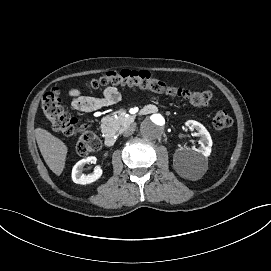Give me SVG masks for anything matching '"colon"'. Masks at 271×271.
Returning a JSON list of instances; mask_svg holds the SVG:
<instances>
[{"label":"colon","instance_id":"obj_1","mask_svg":"<svg viewBox=\"0 0 271 271\" xmlns=\"http://www.w3.org/2000/svg\"><path fill=\"white\" fill-rule=\"evenodd\" d=\"M94 88L107 85L135 86L156 94L181 98L194 106H207L212 93L209 90L194 91L175 87L153 77L148 71H135L124 69L120 72H107L90 82ZM41 109L55 132L64 135L79 133L76 152L80 156H87L100 147L97 135L87 125H79L76 118L65 111L61 93L53 89L45 93L41 100ZM233 124L231 116L223 111L216 113L213 126L218 131L229 129Z\"/></svg>","mask_w":271,"mask_h":271}]
</instances>
